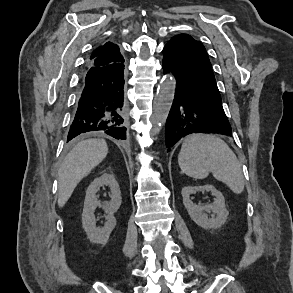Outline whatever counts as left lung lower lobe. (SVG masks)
I'll return each instance as SVG.
<instances>
[{
    "label": "left lung lower lobe",
    "mask_w": 293,
    "mask_h": 293,
    "mask_svg": "<svg viewBox=\"0 0 293 293\" xmlns=\"http://www.w3.org/2000/svg\"><path fill=\"white\" fill-rule=\"evenodd\" d=\"M163 52V71L172 72L176 80L174 101L166 121L167 151L191 133L231 136V126L223 110L220 93L204 86L187 71L174 46L166 44Z\"/></svg>",
    "instance_id": "0a47b994"
}]
</instances>
